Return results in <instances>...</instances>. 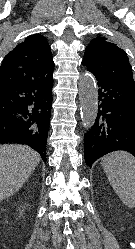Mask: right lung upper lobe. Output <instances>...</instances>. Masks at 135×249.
<instances>
[{
	"label": "right lung upper lobe",
	"instance_id": "obj_1",
	"mask_svg": "<svg viewBox=\"0 0 135 249\" xmlns=\"http://www.w3.org/2000/svg\"><path fill=\"white\" fill-rule=\"evenodd\" d=\"M54 62L47 39L40 34L28 36L3 59L0 87L52 78Z\"/></svg>",
	"mask_w": 135,
	"mask_h": 249
}]
</instances>
